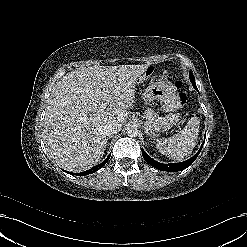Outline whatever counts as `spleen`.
I'll return each mask as SVG.
<instances>
[{"label":"spleen","mask_w":247,"mask_h":247,"mask_svg":"<svg viewBox=\"0 0 247 247\" xmlns=\"http://www.w3.org/2000/svg\"><path fill=\"white\" fill-rule=\"evenodd\" d=\"M199 127L200 120L194 116L179 133L159 141L157 148L170 159L182 161L184 157L192 153L198 138Z\"/></svg>","instance_id":"1"}]
</instances>
